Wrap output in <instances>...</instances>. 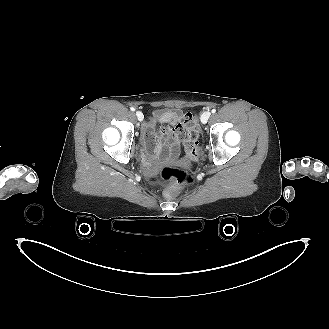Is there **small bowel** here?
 I'll list each match as a JSON object with an SVG mask.
<instances>
[{
    "label": "small bowel",
    "mask_w": 329,
    "mask_h": 329,
    "mask_svg": "<svg viewBox=\"0 0 329 329\" xmlns=\"http://www.w3.org/2000/svg\"><path fill=\"white\" fill-rule=\"evenodd\" d=\"M183 112L180 109L156 110L143 126V144L151 156L174 161L180 154L184 141L181 126ZM164 124L160 127L158 124Z\"/></svg>",
    "instance_id": "c3829d8e"
}]
</instances>
